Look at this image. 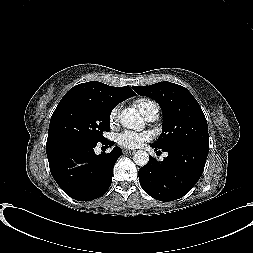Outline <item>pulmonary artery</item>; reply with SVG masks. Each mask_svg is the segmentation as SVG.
<instances>
[{"label":"pulmonary artery","instance_id":"1","mask_svg":"<svg viewBox=\"0 0 253 253\" xmlns=\"http://www.w3.org/2000/svg\"><path fill=\"white\" fill-rule=\"evenodd\" d=\"M158 114H159V106L155 102L151 101L148 104V107L144 113L145 118L148 121H154L158 118Z\"/></svg>","mask_w":253,"mask_h":253}]
</instances>
